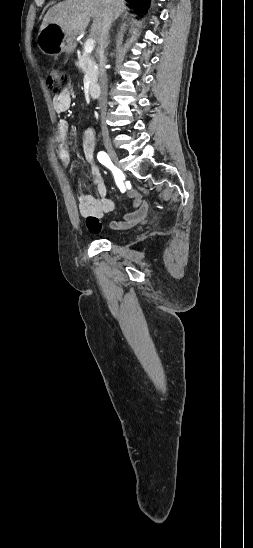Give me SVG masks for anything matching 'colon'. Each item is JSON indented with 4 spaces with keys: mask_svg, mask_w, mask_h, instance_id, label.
<instances>
[{
    "mask_svg": "<svg viewBox=\"0 0 253 548\" xmlns=\"http://www.w3.org/2000/svg\"><path fill=\"white\" fill-rule=\"evenodd\" d=\"M46 81L50 91L58 95L65 91L69 84V78L65 71L59 67H51L46 74Z\"/></svg>",
    "mask_w": 253,
    "mask_h": 548,
    "instance_id": "5ec220e1",
    "label": "colon"
}]
</instances>
